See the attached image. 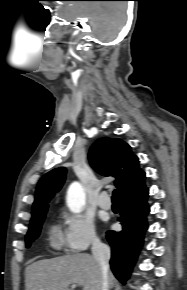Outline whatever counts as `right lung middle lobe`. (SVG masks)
Returning a JSON list of instances; mask_svg holds the SVG:
<instances>
[{
    "label": "right lung middle lobe",
    "mask_w": 187,
    "mask_h": 290,
    "mask_svg": "<svg viewBox=\"0 0 187 290\" xmlns=\"http://www.w3.org/2000/svg\"><path fill=\"white\" fill-rule=\"evenodd\" d=\"M45 214H42L31 221L26 235V247H30L31 243L39 236L41 225L45 219Z\"/></svg>",
    "instance_id": "right-lung-middle-lobe-1"
}]
</instances>
